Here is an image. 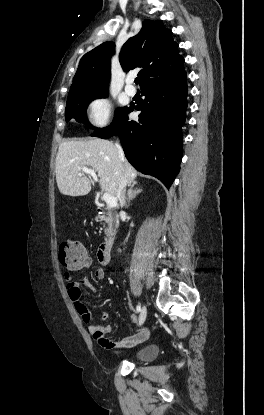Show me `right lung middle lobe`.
<instances>
[{"label":"right lung middle lobe","mask_w":264,"mask_h":415,"mask_svg":"<svg viewBox=\"0 0 264 415\" xmlns=\"http://www.w3.org/2000/svg\"><path fill=\"white\" fill-rule=\"evenodd\" d=\"M108 96V93L102 94H85L77 95L68 98L65 110V119L69 121L71 118L76 119V121L86 124L90 128H94L88 121L86 116V110L89 103L96 98H105ZM125 108H118L115 112L114 118L120 114Z\"/></svg>","instance_id":"dd1d6c3e"}]
</instances>
